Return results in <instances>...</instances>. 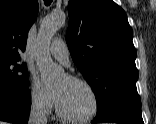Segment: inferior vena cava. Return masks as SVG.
I'll list each match as a JSON object with an SVG mask.
<instances>
[{
    "label": "inferior vena cava",
    "mask_w": 156,
    "mask_h": 124,
    "mask_svg": "<svg viewBox=\"0 0 156 124\" xmlns=\"http://www.w3.org/2000/svg\"><path fill=\"white\" fill-rule=\"evenodd\" d=\"M28 124H47L45 102L39 97L32 99Z\"/></svg>",
    "instance_id": "inferior-vena-cava-1"
}]
</instances>
